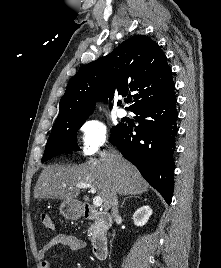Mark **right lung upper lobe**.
<instances>
[{"label":"right lung upper lobe","mask_w":221,"mask_h":268,"mask_svg":"<svg viewBox=\"0 0 221 268\" xmlns=\"http://www.w3.org/2000/svg\"><path fill=\"white\" fill-rule=\"evenodd\" d=\"M174 87L171 68L159 45L146 36H134L78 71L60 100L56 121L90 115L95 102L111 100L115 93H135L133 104L127 107L133 112L171 95Z\"/></svg>","instance_id":"obj_1"}]
</instances>
